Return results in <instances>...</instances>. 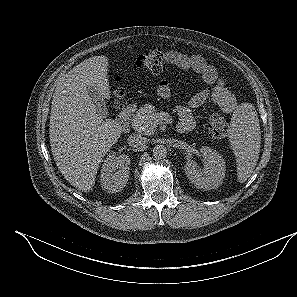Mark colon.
<instances>
[{
  "mask_svg": "<svg viewBox=\"0 0 297 297\" xmlns=\"http://www.w3.org/2000/svg\"><path fill=\"white\" fill-rule=\"evenodd\" d=\"M136 65L143 70L156 74H162L167 71L168 57L162 51H150L137 58ZM123 89L118 87L114 94L117 99L123 96ZM208 132L212 138L223 139L228 132V124L225 118L220 114H213L208 120Z\"/></svg>",
  "mask_w": 297,
  "mask_h": 297,
  "instance_id": "colon-1",
  "label": "colon"
}]
</instances>
